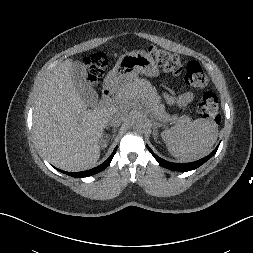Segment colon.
Returning a JSON list of instances; mask_svg holds the SVG:
<instances>
[{"mask_svg":"<svg viewBox=\"0 0 253 253\" xmlns=\"http://www.w3.org/2000/svg\"><path fill=\"white\" fill-rule=\"evenodd\" d=\"M147 51L165 70L176 75L183 73V83L186 87L203 88L206 86L208 82L207 76L197 61H190L184 66L177 55L168 51L155 46H149ZM106 65L107 58L101 52L87 57L85 59V68L88 81L93 84L96 83L102 76ZM197 112L202 119L219 124L221 118L218 112L217 96L211 91H206L197 105Z\"/></svg>","mask_w":253,"mask_h":253,"instance_id":"colon-1","label":"colon"}]
</instances>
